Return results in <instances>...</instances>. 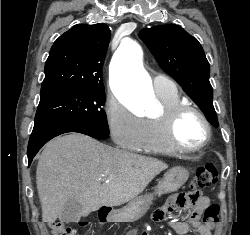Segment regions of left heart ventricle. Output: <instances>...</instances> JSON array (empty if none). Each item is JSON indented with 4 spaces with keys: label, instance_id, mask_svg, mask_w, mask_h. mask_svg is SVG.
<instances>
[{
    "label": "left heart ventricle",
    "instance_id": "b2bd125f",
    "mask_svg": "<svg viewBox=\"0 0 250 235\" xmlns=\"http://www.w3.org/2000/svg\"><path fill=\"white\" fill-rule=\"evenodd\" d=\"M205 134V126L196 113L187 112L180 117L176 136L182 145L196 147L203 141Z\"/></svg>",
    "mask_w": 250,
    "mask_h": 235
}]
</instances>
